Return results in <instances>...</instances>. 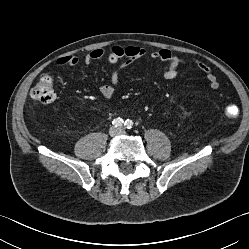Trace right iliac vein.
Masks as SVG:
<instances>
[{"mask_svg": "<svg viewBox=\"0 0 249 249\" xmlns=\"http://www.w3.org/2000/svg\"><path fill=\"white\" fill-rule=\"evenodd\" d=\"M110 135L111 136H115L118 134V129L116 128H111L110 131H109Z\"/></svg>", "mask_w": 249, "mask_h": 249, "instance_id": "63e3f726", "label": "right iliac vein"}]
</instances>
